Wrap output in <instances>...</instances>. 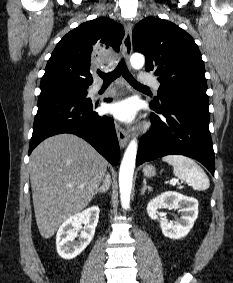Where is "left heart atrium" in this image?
Returning <instances> with one entry per match:
<instances>
[{
  "instance_id": "1",
  "label": "left heart atrium",
  "mask_w": 233,
  "mask_h": 283,
  "mask_svg": "<svg viewBox=\"0 0 233 283\" xmlns=\"http://www.w3.org/2000/svg\"><path fill=\"white\" fill-rule=\"evenodd\" d=\"M136 105L128 99L113 103L109 106V113L119 121L129 123L136 116Z\"/></svg>"
}]
</instances>
